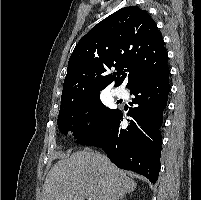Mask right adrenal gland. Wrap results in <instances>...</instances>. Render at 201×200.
Masks as SVG:
<instances>
[{
	"mask_svg": "<svg viewBox=\"0 0 201 200\" xmlns=\"http://www.w3.org/2000/svg\"><path fill=\"white\" fill-rule=\"evenodd\" d=\"M123 197H124V196H121L118 200H122Z\"/></svg>",
	"mask_w": 201,
	"mask_h": 200,
	"instance_id": "obj_1",
	"label": "right adrenal gland"
}]
</instances>
